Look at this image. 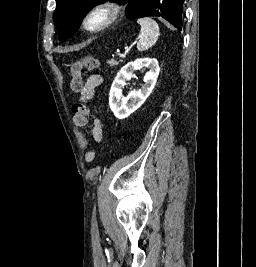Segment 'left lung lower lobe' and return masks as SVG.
<instances>
[{
	"instance_id": "0a47b994",
	"label": "left lung lower lobe",
	"mask_w": 256,
	"mask_h": 267,
	"mask_svg": "<svg viewBox=\"0 0 256 267\" xmlns=\"http://www.w3.org/2000/svg\"><path fill=\"white\" fill-rule=\"evenodd\" d=\"M183 2L184 0H175V27L179 30H181L183 26Z\"/></svg>"
}]
</instances>
